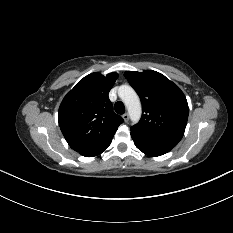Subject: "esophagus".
<instances>
[{
	"mask_svg": "<svg viewBox=\"0 0 233 233\" xmlns=\"http://www.w3.org/2000/svg\"><path fill=\"white\" fill-rule=\"evenodd\" d=\"M122 117H123V120L125 122H127L129 120V114L128 113H125Z\"/></svg>",
	"mask_w": 233,
	"mask_h": 233,
	"instance_id": "1",
	"label": "esophagus"
}]
</instances>
